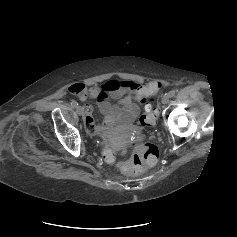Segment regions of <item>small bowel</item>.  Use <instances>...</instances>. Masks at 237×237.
I'll list each match as a JSON object with an SVG mask.
<instances>
[{
  "label": "small bowel",
  "instance_id": "1",
  "mask_svg": "<svg viewBox=\"0 0 237 237\" xmlns=\"http://www.w3.org/2000/svg\"><path fill=\"white\" fill-rule=\"evenodd\" d=\"M69 92L77 95L81 100L93 98L103 114V121L97 124L93 117V108L84 107V124L88 132L105 135L116 124H129L139 114L140 106L148 96L146 86L133 80H112L101 85L86 86L82 83L72 84ZM111 99L118 100L117 104Z\"/></svg>",
  "mask_w": 237,
  "mask_h": 237
}]
</instances>
